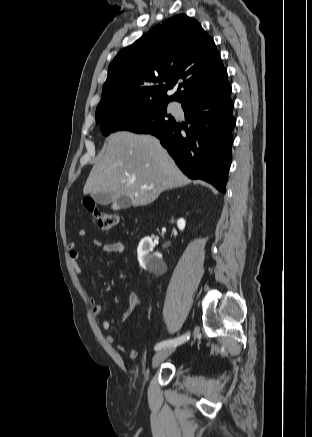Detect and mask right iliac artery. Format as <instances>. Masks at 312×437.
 <instances>
[{"mask_svg":"<svg viewBox=\"0 0 312 437\" xmlns=\"http://www.w3.org/2000/svg\"><path fill=\"white\" fill-rule=\"evenodd\" d=\"M189 339V334H184L180 337L174 338V339H170V340H166V341H161L160 343H158L155 346V350H161L162 348H165L167 346H173V345H178V344H182L185 341H187Z\"/></svg>","mask_w":312,"mask_h":437,"instance_id":"82829eb1","label":"right iliac artery"}]
</instances>
